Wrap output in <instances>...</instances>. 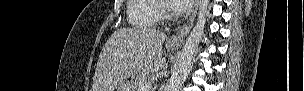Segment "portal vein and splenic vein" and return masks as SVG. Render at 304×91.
Instances as JSON below:
<instances>
[{
    "label": "portal vein and splenic vein",
    "mask_w": 304,
    "mask_h": 91,
    "mask_svg": "<svg viewBox=\"0 0 304 91\" xmlns=\"http://www.w3.org/2000/svg\"><path fill=\"white\" fill-rule=\"evenodd\" d=\"M151 84L150 83H144L142 86V91H149Z\"/></svg>",
    "instance_id": "1"
}]
</instances>
